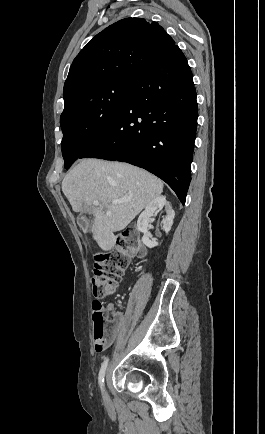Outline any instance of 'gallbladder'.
<instances>
[{
  "mask_svg": "<svg viewBox=\"0 0 265 434\" xmlns=\"http://www.w3.org/2000/svg\"><path fill=\"white\" fill-rule=\"evenodd\" d=\"M76 220L78 221L79 226H81V229L84 232H87L90 229V226L87 224V221H86L85 217L82 214H79L76 217Z\"/></svg>",
  "mask_w": 265,
  "mask_h": 434,
  "instance_id": "gallbladder-1",
  "label": "gallbladder"
}]
</instances>
